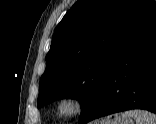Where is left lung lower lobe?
<instances>
[{
  "label": "left lung lower lobe",
  "mask_w": 156,
  "mask_h": 124,
  "mask_svg": "<svg viewBox=\"0 0 156 124\" xmlns=\"http://www.w3.org/2000/svg\"><path fill=\"white\" fill-rule=\"evenodd\" d=\"M129 109L156 114V12L129 42L80 123Z\"/></svg>",
  "instance_id": "left-lung-lower-lobe-1"
}]
</instances>
